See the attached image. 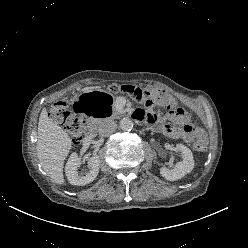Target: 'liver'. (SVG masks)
<instances>
[{"mask_svg": "<svg viewBox=\"0 0 248 248\" xmlns=\"http://www.w3.org/2000/svg\"><path fill=\"white\" fill-rule=\"evenodd\" d=\"M72 141L68 134L42 110L38 122L37 156L44 171L53 182L64 183V160L69 154Z\"/></svg>", "mask_w": 248, "mask_h": 248, "instance_id": "obj_1", "label": "liver"}]
</instances>
